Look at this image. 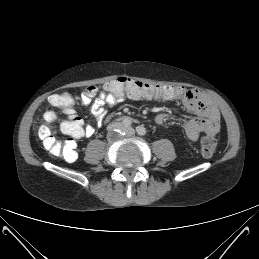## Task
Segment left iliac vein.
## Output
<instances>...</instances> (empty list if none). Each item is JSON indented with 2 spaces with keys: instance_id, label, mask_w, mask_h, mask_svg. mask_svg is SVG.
<instances>
[{
  "instance_id": "obj_1",
  "label": "left iliac vein",
  "mask_w": 259,
  "mask_h": 259,
  "mask_svg": "<svg viewBox=\"0 0 259 259\" xmlns=\"http://www.w3.org/2000/svg\"><path fill=\"white\" fill-rule=\"evenodd\" d=\"M124 130H125V132L128 133V134H131V135L135 134V130H134L133 128H131V127H129V128H124Z\"/></svg>"
}]
</instances>
